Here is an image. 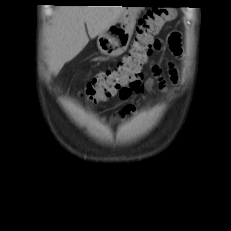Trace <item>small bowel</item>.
Listing matches in <instances>:
<instances>
[{"label":"small bowel","mask_w":231,"mask_h":231,"mask_svg":"<svg viewBox=\"0 0 231 231\" xmlns=\"http://www.w3.org/2000/svg\"><path fill=\"white\" fill-rule=\"evenodd\" d=\"M168 45L170 50L177 56L181 54V46H180V38L177 34H172L168 39ZM169 76L173 82H176L177 70L174 68L173 65H169ZM152 74L154 79L148 80L147 82L143 83L142 80L129 83L125 85L120 91L118 92V97L121 101L125 102L124 108L121 110L119 116H125L127 114H131L135 111V104L132 101L134 95H140L144 92L145 89L150 88L155 81H157L160 88L165 86V81L162 77V70L159 68L158 65H152L151 67Z\"/></svg>","instance_id":"1"}]
</instances>
